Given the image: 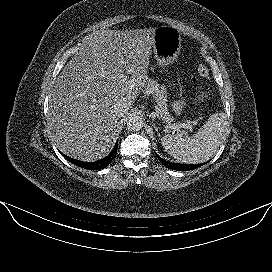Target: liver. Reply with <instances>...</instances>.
Segmentation results:
<instances>
[{
    "mask_svg": "<svg viewBox=\"0 0 272 272\" xmlns=\"http://www.w3.org/2000/svg\"><path fill=\"white\" fill-rule=\"evenodd\" d=\"M155 32L95 31L64 66L48 110L53 139L64 154L87 162L108 154L118 120L113 106L132 105L146 87Z\"/></svg>",
    "mask_w": 272,
    "mask_h": 272,
    "instance_id": "obj_1",
    "label": "liver"
}]
</instances>
